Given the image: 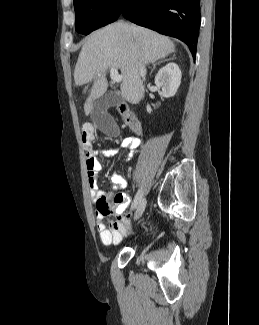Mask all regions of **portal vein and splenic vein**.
I'll list each match as a JSON object with an SVG mask.
<instances>
[{
    "label": "portal vein and splenic vein",
    "mask_w": 259,
    "mask_h": 325,
    "mask_svg": "<svg viewBox=\"0 0 259 325\" xmlns=\"http://www.w3.org/2000/svg\"><path fill=\"white\" fill-rule=\"evenodd\" d=\"M97 75L100 76V74ZM110 77L116 83L121 82L123 79V76L118 73V70L116 68L110 69Z\"/></svg>",
    "instance_id": "obj_1"
}]
</instances>
